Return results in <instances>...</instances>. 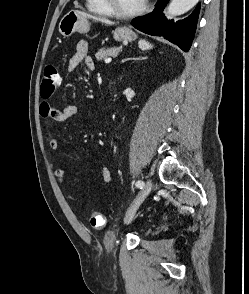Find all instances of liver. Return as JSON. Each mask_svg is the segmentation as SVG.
<instances>
[{"mask_svg":"<svg viewBox=\"0 0 249 294\" xmlns=\"http://www.w3.org/2000/svg\"><path fill=\"white\" fill-rule=\"evenodd\" d=\"M78 12H79L81 15L87 17V18L95 19V20L100 21V22H102V23H104V24H106V25H113V24H114L112 21H110V20H108V19L97 18V17H94V16L89 15V14L84 13V12H80V11H78Z\"/></svg>","mask_w":249,"mask_h":294,"instance_id":"6515ba94","label":"liver"}]
</instances>
